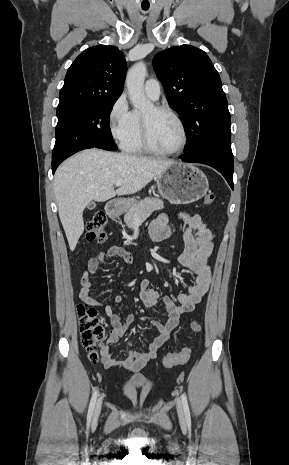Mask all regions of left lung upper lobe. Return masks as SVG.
I'll list each match as a JSON object with an SVG mask.
<instances>
[{"label":"left lung upper lobe","mask_w":289,"mask_h":465,"mask_svg":"<svg viewBox=\"0 0 289 465\" xmlns=\"http://www.w3.org/2000/svg\"><path fill=\"white\" fill-rule=\"evenodd\" d=\"M153 66L169 105L184 121L185 154L215 150L233 155L226 95L207 54L194 46H175L156 54Z\"/></svg>","instance_id":"left-lung-upper-lobe-1"}]
</instances>
